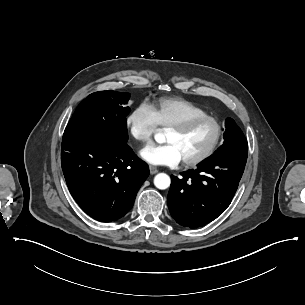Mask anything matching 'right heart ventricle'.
I'll use <instances>...</instances> for the list:
<instances>
[{
  "label": "right heart ventricle",
  "instance_id": "e07e8e85",
  "mask_svg": "<svg viewBox=\"0 0 305 305\" xmlns=\"http://www.w3.org/2000/svg\"><path fill=\"white\" fill-rule=\"evenodd\" d=\"M157 123L168 127L187 118L206 115V111L192 102L179 97H159L150 102Z\"/></svg>",
  "mask_w": 305,
  "mask_h": 305
}]
</instances>
